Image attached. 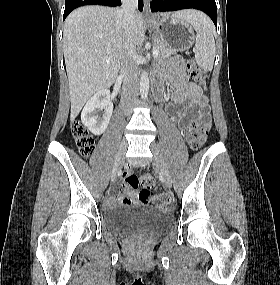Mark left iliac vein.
<instances>
[{
	"label": "left iliac vein",
	"instance_id": "left-iliac-vein-1",
	"mask_svg": "<svg viewBox=\"0 0 280 285\" xmlns=\"http://www.w3.org/2000/svg\"><path fill=\"white\" fill-rule=\"evenodd\" d=\"M151 151L153 153L154 165L156 166V168L159 170L160 174L162 175L165 186L170 188L172 186L171 174L168 170L167 164L160 151V148L155 142L151 143Z\"/></svg>",
	"mask_w": 280,
	"mask_h": 285
}]
</instances>
